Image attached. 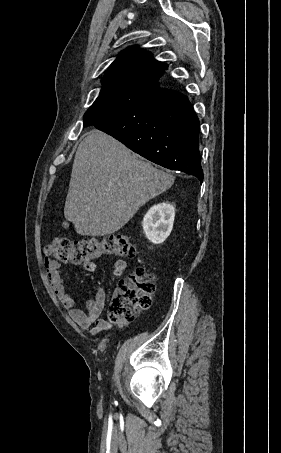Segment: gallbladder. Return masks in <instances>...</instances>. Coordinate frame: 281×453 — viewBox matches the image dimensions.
I'll return each mask as SVG.
<instances>
[{
	"instance_id": "obj_1",
	"label": "gallbladder",
	"mask_w": 281,
	"mask_h": 453,
	"mask_svg": "<svg viewBox=\"0 0 281 453\" xmlns=\"http://www.w3.org/2000/svg\"><path fill=\"white\" fill-rule=\"evenodd\" d=\"M63 225H64V227H65V228H67V229H68V228H70V227H71V225H72V224H71V222H70V221H68V220H67V221H65V222H64V224H63Z\"/></svg>"
}]
</instances>
